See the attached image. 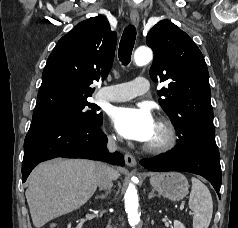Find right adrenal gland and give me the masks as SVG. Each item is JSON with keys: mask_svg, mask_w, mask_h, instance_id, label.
<instances>
[{"mask_svg": "<svg viewBox=\"0 0 238 228\" xmlns=\"http://www.w3.org/2000/svg\"><path fill=\"white\" fill-rule=\"evenodd\" d=\"M108 192H106L105 194L102 195H97L95 198L96 199H104L107 196Z\"/></svg>", "mask_w": 238, "mask_h": 228, "instance_id": "2a0ac1e0", "label": "right adrenal gland"}]
</instances>
